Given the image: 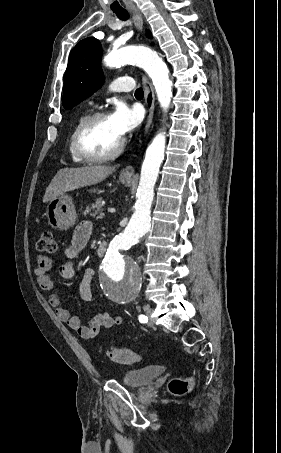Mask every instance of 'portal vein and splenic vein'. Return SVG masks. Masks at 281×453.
<instances>
[{
    "label": "portal vein and splenic vein",
    "mask_w": 281,
    "mask_h": 453,
    "mask_svg": "<svg viewBox=\"0 0 281 453\" xmlns=\"http://www.w3.org/2000/svg\"><path fill=\"white\" fill-rule=\"evenodd\" d=\"M108 212H111V214H116L115 208H108Z\"/></svg>",
    "instance_id": "obj_1"
}]
</instances>
